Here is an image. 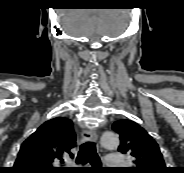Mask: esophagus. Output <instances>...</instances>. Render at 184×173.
I'll use <instances>...</instances> for the list:
<instances>
[{
  "label": "esophagus",
  "mask_w": 184,
  "mask_h": 173,
  "mask_svg": "<svg viewBox=\"0 0 184 173\" xmlns=\"http://www.w3.org/2000/svg\"><path fill=\"white\" fill-rule=\"evenodd\" d=\"M81 136L84 141H97V133L94 129L84 130Z\"/></svg>",
  "instance_id": "34e87169"
}]
</instances>
